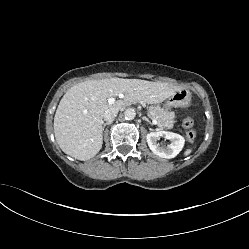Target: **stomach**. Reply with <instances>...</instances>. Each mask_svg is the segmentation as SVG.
Here are the masks:
<instances>
[{
  "label": "stomach",
  "instance_id": "0dacf381",
  "mask_svg": "<svg viewBox=\"0 0 249 249\" xmlns=\"http://www.w3.org/2000/svg\"><path fill=\"white\" fill-rule=\"evenodd\" d=\"M175 93L168 99V101L166 102V104H165V108L166 109H170L173 105H174V103H175Z\"/></svg>",
  "mask_w": 249,
  "mask_h": 249
}]
</instances>
